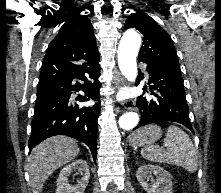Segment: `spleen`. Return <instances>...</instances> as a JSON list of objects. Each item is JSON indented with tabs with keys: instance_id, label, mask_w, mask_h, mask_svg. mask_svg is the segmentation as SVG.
<instances>
[{
	"instance_id": "3e777b00",
	"label": "spleen",
	"mask_w": 221,
	"mask_h": 193,
	"mask_svg": "<svg viewBox=\"0 0 221 193\" xmlns=\"http://www.w3.org/2000/svg\"><path fill=\"white\" fill-rule=\"evenodd\" d=\"M167 149L158 146H145L141 150L143 158L153 162L181 166L189 172L197 169V156L189 136L177 126H169L164 139Z\"/></svg>"
}]
</instances>
